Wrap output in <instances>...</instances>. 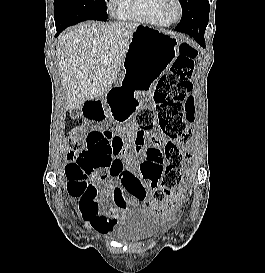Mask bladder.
<instances>
[{
    "instance_id": "31cf9c89",
    "label": "bladder",
    "mask_w": 265,
    "mask_h": 273,
    "mask_svg": "<svg viewBox=\"0 0 265 273\" xmlns=\"http://www.w3.org/2000/svg\"><path fill=\"white\" fill-rule=\"evenodd\" d=\"M158 216L141 206L125 211L122 221L114 230L115 235L124 241H143L151 238L158 227Z\"/></svg>"
}]
</instances>
